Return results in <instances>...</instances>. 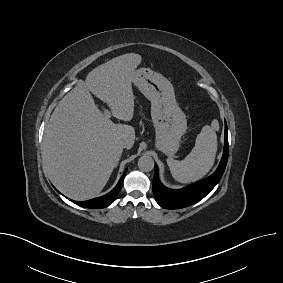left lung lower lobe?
<instances>
[{
	"mask_svg": "<svg viewBox=\"0 0 283 283\" xmlns=\"http://www.w3.org/2000/svg\"><path fill=\"white\" fill-rule=\"evenodd\" d=\"M228 135L227 124L225 122V144L223 156L217 170L209 177L197 183L189 185L183 189L173 190L166 188L159 180L158 168L155 165L153 178V193L156 202L166 209H179L188 207L203 199L220 181L228 160Z\"/></svg>",
	"mask_w": 283,
	"mask_h": 283,
	"instance_id": "1",
	"label": "left lung lower lobe"
}]
</instances>
